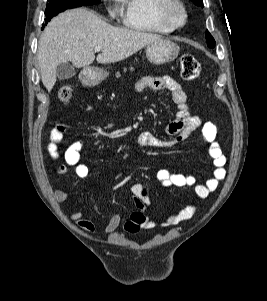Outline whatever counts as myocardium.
<instances>
[{"label": "myocardium", "mask_w": 267, "mask_h": 301, "mask_svg": "<svg viewBox=\"0 0 267 301\" xmlns=\"http://www.w3.org/2000/svg\"><path fill=\"white\" fill-rule=\"evenodd\" d=\"M161 15L175 28L184 26L188 18L186 6L182 0H164Z\"/></svg>", "instance_id": "obj_1"}]
</instances>
